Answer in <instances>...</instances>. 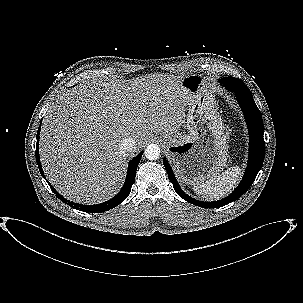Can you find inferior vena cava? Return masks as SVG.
Wrapping results in <instances>:
<instances>
[{"mask_svg": "<svg viewBox=\"0 0 303 303\" xmlns=\"http://www.w3.org/2000/svg\"><path fill=\"white\" fill-rule=\"evenodd\" d=\"M136 149V141L132 138H125L122 140L119 146L121 153L129 155Z\"/></svg>", "mask_w": 303, "mask_h": 303, "instance_id": "602c4592", "label": "inferior vena cava"}]
</instances>
